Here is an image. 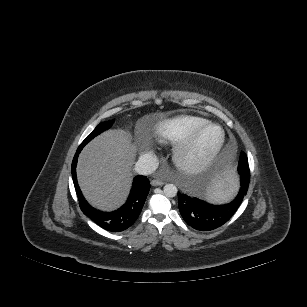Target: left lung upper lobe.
<instances>
[{"instance_id":"obj_1","label":"left lung upper lobe","mask_w":307,"mask_h":307,"mask_svg":"<svg viewBox=\"0 0 307 307\" xmlns=\"http://www.w3.org/2000/svg\"><path fill=\"white\" fill-rule=\"evenodd\" d=\"M239 174L242 176L243 175V173L239 170Z\"/></svg>"}]
</instances>
